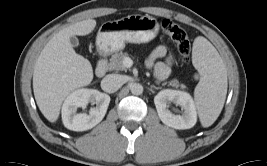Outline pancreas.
Instances as JSON below:
<instances>
[{
  "label": "pancreas",
  "mask_w": 267,
  "mask_h": 166,
  "mask_svg": "<svg viewBox=\"0 0 267 166\" xmlns=\"http://www.w3.org/2000/svg\"><path fill=\"white\" fill-rule=\"evenodd\" d=\"M128 54L125 52H119L112 55L110 58V62L108 63V69L109 70H116V71H126L127 67L124 66L123 60L126 58ZM157 83H159L157 81ZM169 85L175 88L180 87L181 89H185L186 86L184 84H179V82L174 79L171 82H169Z\"/></svg>",
  "instance_id": "cf45deb5"
}]
</instances>
